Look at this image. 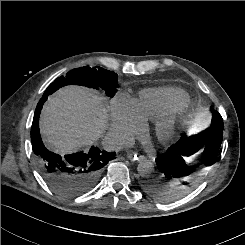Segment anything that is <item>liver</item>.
Instances as JSON below:
<instances>
[{
    "instance_id": "obj_1",
    "label": "liver",
    "mask_w": 245,
    "mask_h": 245,
    "mask_svg": "<svg viewBox=\"0 0 245 245\" xmlns=\"http://www.w3.org/2000/svg\"><path fill=\"white\" fill-rule=\"evenodd\" d=\"M106 123L107 108L99 94L68 86L49 98L41 113L40 131L48 148L66 154L95 142Z\"/></svg>"
}]
</instances>
